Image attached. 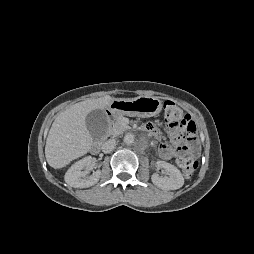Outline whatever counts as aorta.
<instances>
[{
    "label": "aorta",
    "mask_w": 254,
    "mask_h": 254,
    "mask_svg": "<svg viewBox=\"0 0 254 254\" xmlns=\"http://www.w3.org/2000/svg\"><path fill=\"white\" fill-rule=\"evenodd\" d=\"M134 135L131 134V133H127L125 136H124V142L125 144L127 145H130L134 142Z\"/></svg>",
    "instance_id": "1"
}]
</instances>
